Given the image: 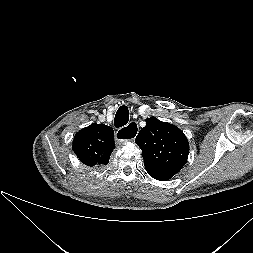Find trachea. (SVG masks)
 <instances>
[{
  "label": "trachea",
  "instance_id": "1",
  "mask_svg": "<svg viewBox=\"0 0 253 253\" xmlns=\"http://www.w3.org/2000/svg\"><path fill=\"white\" fill-rule=\"evenodd\" d=\"M128 120L129 110L125 105H123L116 112L114 124L116 127H122L128 123Z\"/></svg>",
  "mask_w": 253,
  "mask_h": 253
}]
</instances>
